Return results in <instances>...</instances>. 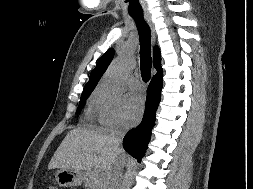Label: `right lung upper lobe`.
Returning a JSON list of instances; mask_svg holds the SVG:
<instances>
[{
    "mask_svg": "<svg viewBox=\"0 0 253 189\" xmlns=\"http://www.w3.org/2000/svg\"><path fill=\"white\" fill-rule=\"evenodd\" d=\"M113 56H114V49L111 48L107 50V52L99 59L95 69L91 72L89 81L86 83L83 91L94 90L101 76L104 74L108 65L112 61ZM153 57H154V67L157 70L156 75H161L163 73L161 68V55L160 50L157 46L154 48Z\"/></svg>",
    "mask_w": 253,
    "mask_h": 189,
    "instance_id": "1",
    "label": "right lung upper lobe"
}]
</instances>
